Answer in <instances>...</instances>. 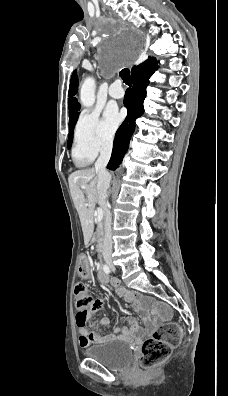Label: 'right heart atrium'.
<instances>
[{"mask_svg":"<svg viewBox=\"0 0 228 396\" xmlns=\"http://www.w3.org/2000/svg\"><path fill=\"white\" fill-rule=\"evenodd\" d=\"M113 134L99 114L84 111L78 118L74 131L73 155L78 162H90L99 153L111 149Z\"/></svg>","mask_w":228,"mask_h":396,"instance_id":"right-heart-atrium-1","label":"right heart atrium"}]
</instances>
